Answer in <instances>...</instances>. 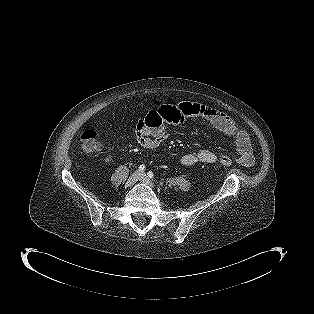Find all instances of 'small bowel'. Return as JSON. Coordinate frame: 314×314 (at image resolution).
I'll list each match as a JSON object with an SVG mask.
<instances>
[{
	"label": "small bowel",
	"instance_id": "small-bowel-1",
	"mask_svg": "<svg viewBox=\"0 0 314 314\" xmlns=\"http://www.w3.org/2000/svg\"><path fill=\"white\" fill-rule=\"evenodd\" d=\"M196 118L207 121L224 135L233 138L238 151V162L244 167L253 165L254 154L248 133L222 111L191 101L166 103L151 110L137 122V141L144 149H155L167 137L164 125L189 124ZM218 157L219 154L202 149L183 154L179 161L184 166H192L197 163H216Z\"/></svg>",
	"mask_w": 314,
	"mask_h": 314
}]
</instances>
